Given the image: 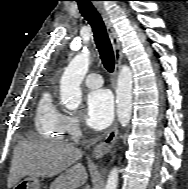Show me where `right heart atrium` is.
Here are the masks:
<instances>
[{"mask_svg":"<svg viewBox=\"0 0 188 189\" xmlns=\"http://www.w3.org/2000/svg\"><path fill=\"white\" fill-rule=\"evenodd\" d=\"M66 121H67V129L72 134H77L80 130V120L78 119V117L74 115H68Z\"/></svg>","mask_w":188,"mask_h":189,"instance_id":"d8ad5b80","label":"right heart atrium"}]
</instances>
